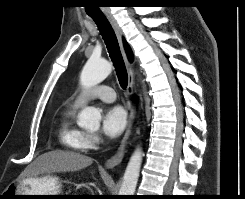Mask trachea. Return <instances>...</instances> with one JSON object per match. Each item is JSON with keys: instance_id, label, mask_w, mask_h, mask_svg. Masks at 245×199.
<instances>
[{"instance_id": "obj_1", "label": "trachea", "mask_w": 245, "mask_h": 199, "mask_svg": "<svg viewBox=\"0 0 245 199\" xmlns=\"http://www.w3.org/2000/svg\"><path fill=\"white\" fill-rule=\"evenodd\" d=\"M105 41L110 58L114 64L120 86L125 89L128 84V74L119 48L115 32L104 15L91 16Z\"/></svg>"}]
</instances>
